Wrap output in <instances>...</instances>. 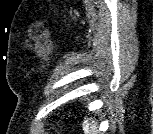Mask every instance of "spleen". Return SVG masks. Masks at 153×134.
I'll return each instance as SVG.
<instances>
[{"label":"spleen","mask_w":153,"mask_h":134,"mask_svg":"<svg viewBox=\"0 0 153 134\" xmlns=\"http://www.w3.org/2000/svg\"><path fill=\"white\" fill-rule=\"evenodd\" d=\"M96 125L93 124L91 125L88 120H86L83 124V131L84 134H94V132L96 131Z\"/></svg>","instance_id":"3e777b00"}]
</instances>
